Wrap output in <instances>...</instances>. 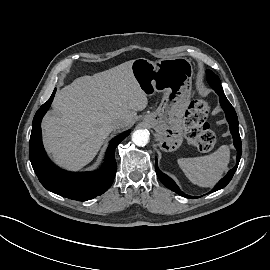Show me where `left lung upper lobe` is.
<instances>
[{
  "label": "left lung upper lobe",
  "instance_id": "obj_1",
  "mask_svg": "<svg viewBox=\"0 0 270 270\" xmlns=\"http://www.w3.org/2000/svg\"><path fill=\"white\" fill-rule=\"evenodd\" d=\"M208 81L217 94H224L220 79L211 70L207 71Z\"/></svg>",
  "mask_w": 270,
  "mask_h": 270
}]
</instances>
